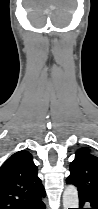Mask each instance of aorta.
I'll return each instance as SVG.
<instances>
[{"instance_id": "762f6f07", "label": "aorta", "mask_w": 98, "mask_h": 209, "mask_svg": "<svg viewBox=\"0 0 98 209\" xmlns=\"http://www.w3.org/2000/svg\"><path fill=\"white\" fill-rule=\"evenodd\" d=\"M63 206L64 209L78 208L79 199L77 188L73 185H69L65 188L63 193Z\"/></svg>"}]
</instances>
